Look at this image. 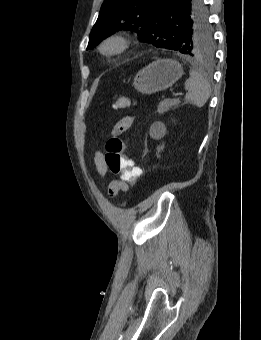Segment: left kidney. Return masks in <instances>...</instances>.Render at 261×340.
<instances>
[{
  "label": "left kidney",
  "mask_w": 261,
  "mask_h": 340,
  "mask_svg": "<svg viewBox=\"0 0 261 340\" xmlns=\"http://www.w3.org/2000/svg\"><path fill=\"white\" fill-rule=\"evenodd\" d=\"M163 149H164V144H162V145H160V146L157 147V153H156V155H157L158 158L160 157L159 152L163 151Z\"/></svg>",
  "instance_id": "obj_1"
}]
</instances>
